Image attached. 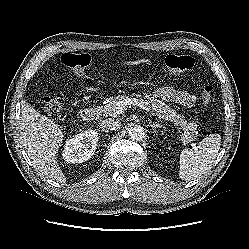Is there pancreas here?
Instances as JSON below:
<instances>
[{"mask_svg":"<svg viewBox=\"0 0 249 249\" xmlns=\"http://www.w3.org/2000/svg\"><path fill=\"white\" fill-rule=\"evenodd\" d=\"M137 97L141 99L144 98L146 103L151 105L152 110L159 118L174 122L177 129L183 131L179 132L181 133L179 140L183 144H189L197 138L198 129L196 123L187 122V120L184 119V116L177 114L175 110L171 109L168 105L155 97H150L147 93H144L143 95L137 94ZM127 98V96L122 95L106 98L99 109L106 116H117L119 115L117 105Z\"/></svg>","mask_w":249,"mask_h":249,"instance_id":"obj_1","label":"pancreas"}]
</instances>
